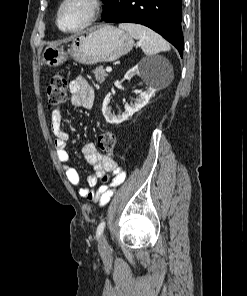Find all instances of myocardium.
Returning <instances> with one entry per match:
<instances>
[{"label":"myocardium","instance_id":"obj_1","mask_svg":"<svg viewBox=\"0 0 247 296\" xmlns=\"http://www.w3.org/2000/svg\"><path fill=\"white\" fill-rule=\"evenodd\" d=\"M72 1H74V0H63L59 5L58 10H57V14H56V25H57L58 29L61 32L68 33V34L80 32V31L86 29L87 27H89L90 25H92L96 21V19L98 18L101 8H102L101 0H82L89 7L88 15H87L85 21L75 28L65 29L61 26V23H60L61 14H62L63 9Z\"/></svg>","mask_w":247,"mask_h":296}]
</instances>
